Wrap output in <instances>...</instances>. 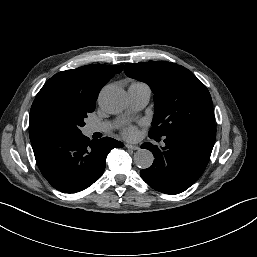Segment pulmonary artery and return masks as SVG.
<instances>
[{
    "instance_id": "pulmonary-artery-1",
    "label": "pulmonary artery",
    "mask_w": 257,
    "mask_h": 257,
    "mask_svg": "<svg viewBox=\"0 0 257 257\" xmlns=\"http://www.w3.org/2000/svg\"><path fill=\"white\" fill-rule=\"evenodd\" d=\"M151 96L150 88L142 83L131 84L128 88L129 104L132 110H140L149 102ZM112 127L111 123L89 124L87 131L89 134L94 132L107 131Z\"/></svg>"
}]
</instances>
